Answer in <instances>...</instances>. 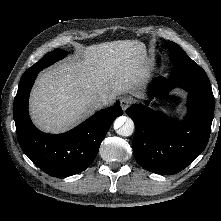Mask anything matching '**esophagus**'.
<instances>
[{
    "label": "esophagus",
    "instance_id": "34e87169",
    "mask_svg": "<svg viewBox=\"0 0 221 221\" xmlns=\"http://www.w3.org/2000/svg\"><path fill=\"white\" fill-rule=\"evenodd\" d=\"M132 103H133V100L130 97H122L120 99V105L123 111H125Z\"/></svg>",
    "mask_w": 221,
    "mask_h": 221
}]
</instances>
